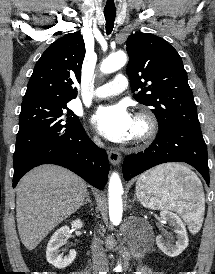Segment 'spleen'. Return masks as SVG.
<instances>
[{
  "mask_svg": "<svg viewBox=\"0 0 215 274\" xmlns=\"http://www.w3.org/2000/svg\"><path fill=\"white\" fill-rule=\"evenodd\" d=\"M136 195L145 207L176 211L188 222L201 219L205 210L199 178L180 164L160 165L143 173L136 182Z\"/></svg>",
  "mask_w": 215,
  "mask_h": 274,
  "instance_id": "obj_1",
  "label": "spleen"
}]
</instances>
